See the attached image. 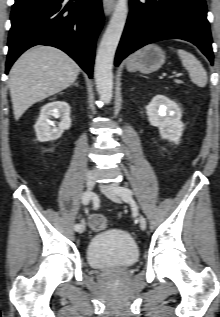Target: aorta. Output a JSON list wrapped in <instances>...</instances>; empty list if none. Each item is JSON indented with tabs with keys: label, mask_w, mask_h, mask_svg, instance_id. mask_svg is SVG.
Here are the masks:
<instances>
[{
	"label": "aorta",
	"mask_w": 220,
	"mask_h": 317,
	"mask_svg": "<svg viewBox=\"0 0 220 317\" xmlns=\"http://www.w3.org/2000/svg\"><path fill=\"white\" fill-rule=\"evenodd\" d=\"M127 0H118L97 50L94 78L101 100L113 95V61L127 19Z\"/></svg>",
	"instance_id": "762f6f07"
}]
</instances>
